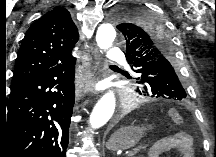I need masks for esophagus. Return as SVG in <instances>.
Masks as SVG:
<instances>
[{
	"label": "esophagus",
	"instance_id": "34e87169",
	"mask_svg": "<svg viewBox=\"0 0 216 157\" xmlns=\"http://www.w3.org/2000/svg\"><path fill=\"white\" fill-rule=\"evenodd\" d=\"M94 63L93 66H79L78 70L82 73L83 80L85 81L84 93L95 92V85L100 78L101 74V61L98 51L93 52Z\"/></svg>",
	"mask_w": 216,
	"mask_h": 157
}]
</instances>
